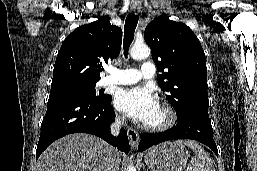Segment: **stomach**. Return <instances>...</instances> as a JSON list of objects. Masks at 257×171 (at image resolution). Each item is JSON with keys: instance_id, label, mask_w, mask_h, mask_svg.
<instances>
[{"instance_id": "0dacf381", "label": "stomach", "mask_w": 257, "mask_h": 171, "mask_svg": "<svg viewBox=\"0 0 257 171\" xmlns=\"http://www.w3.org/2000/svg\"><path fill=\"white\" fill-rule=\"evenodd\" d=\"M187 160L185 147L174 142L154 146L145 155V163L151 171H183Z\"/></svg>"}]
</instances>
